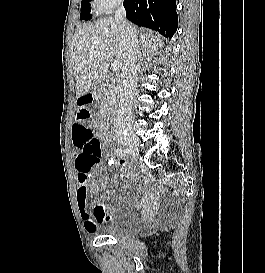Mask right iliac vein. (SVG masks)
<instances>
[{"label":"right iliac vein","mask_w":265,"mask_h":273,"mask_svg":"<svg viewBox=\"0 0 265 273\" xmlns=\"http://www.w3.org/2000/svg\"><path fill=\"white\" fill-rule=\"evenodd\" d=\"M121 141L131 150L138 152L139 141L134 134L127 133L123 138H121Z\"/></svg>","instance_id":"right-iliac-vein-1"}]
</instances>
